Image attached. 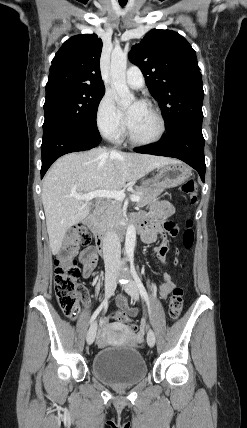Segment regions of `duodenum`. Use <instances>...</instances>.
<instances>
[{
    "label": "duodenum",
    "instance_id": "duodenum-1",
    "mask_svg": "<svg viewBox=\"0 0 247 428\" xmlns=\"http://www.w3.org/2000/svg\"><path fill=\"white\" fill-rule=\"evenodd\" d=\"M102 206H103V203L101 201H98L95 206V211L86 219L87 225L95 230L96 248L99 252H103L105 250L110 240L108 235L101 233L96 229L97 212L101 209ZM129 226L134 227L138 232L142 233L145 228V222L139 217L134 218L128 223L119 222L115 228L114 237L120 240L123 237L125 230Z\"/></svg>",
    "mask_w": 247,
    "mask_h": 428
}]
</instances>
